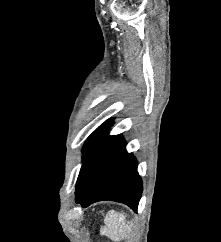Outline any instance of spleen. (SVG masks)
I'll return each instance as SVG.
<instances>
[{
  "instance_id": "obj_1",
  "label": "spleen",
  "mask_w": 221,
  "mask_h": 242,
  "mask_svg": "<svg viewBox=\"0 0 221 242\" xmlns=\"http://www.w3.org/2000/svg\"><path fill=\"white\" fill-rule=\"evenodd\" d=\"M104 233L114 241L131 237L133 224L126 221V214L109 212L105 217Z\"/></svg>"
}]
</instances>
